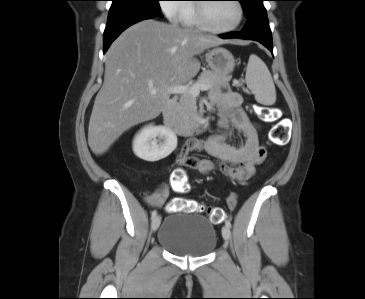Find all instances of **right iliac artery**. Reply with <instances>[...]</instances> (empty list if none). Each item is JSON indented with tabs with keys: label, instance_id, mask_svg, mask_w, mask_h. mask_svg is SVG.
I'll list each match as a JSON object with an SVG mask.
<instances>
[{
	"label": "right iliac artery",
	"instance_id": "1",
	"mask_svg": "<svg viewBox=\"0 0 365 299\" xmlns=\"http://www.w3.org/2000/svg\"><path fill=\"white\" fill-rule=\"evenodd\" d=\"M157 215V211L156 210H153L152 211V218L155 217Z\"/></svg>",
	"mask_w": 365,
	"mask_h": 299
}]
</instances>
